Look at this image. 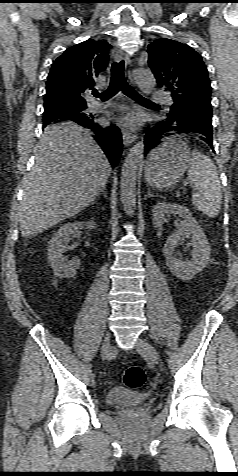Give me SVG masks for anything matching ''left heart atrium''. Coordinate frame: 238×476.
<instances>
[{"label": "left heart atrium", "instance_id": "39dd6f15", "mask_svg": "<svg viewBox=\"0 0 238 476\" xmlns=\"http://www.w3.org/2000/svg\"><path fill=\"white\" fill-rule=\"evenodd\" d=\"M124 123L129 126H137L140 123L138 115H130L124 119Z\"/></svg>", "mask_w": 238, "mask_h": 476}]
</instances>
